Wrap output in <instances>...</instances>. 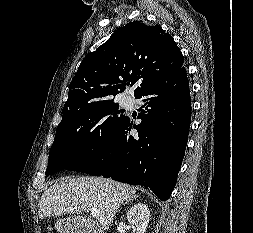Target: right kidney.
Here are the masks:
<instances>
[{
    "label": "right kidney",
    "mask_w": 253,
    "mask_h": 233,
    "mask_svg": "<svg viewBox=\"0 0 253 233\" xmlns=\"http://www.w3.org/2000/svg\"><path fill=\"white\" fill-rule=\"evenodd\" d=\"M150 219L148 206L143 203H136L127 213V220L135 226L136 233H145Z\"/></svg>",
    "instance_id": "1"
}]
</instances>
